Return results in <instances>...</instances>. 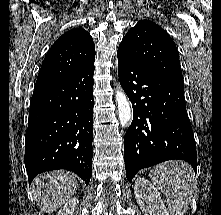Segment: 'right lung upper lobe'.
<instances>
[{
	"label": "right lung upper lobe",
	"instance_id": "cb5924a9",
	"mask_svg": "<svg viewBox=\"0 0 221 215\" xmlns=\"http://www.w3.org/2000/svg\"><path fill=\"white\" fill-rule=\"evenodd\" d=\"M95 60V44L82 28L64 33L50 48L41 65L36 87L68 78Z\"/></svg>",
	"mask_w": 221,
	"mask_h": 215
}]
</instances>
